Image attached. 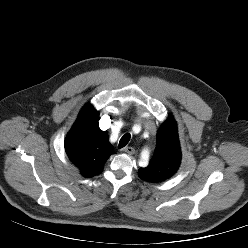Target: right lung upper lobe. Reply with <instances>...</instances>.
<instances>
[{"label":"right lung upper lobe","instance_id":"cb5924a9","mask_svg":"<svg viewBox=\"0 0 248 248\" xmlns=\"http://www.w3.org/2000/svg\"><path fill=\"white\" fill-rule=\"evenodd\" d=\"M99 113L86 104L65 139V150L82 176L91 178L103 171L111 154L112 145L105 131L98 126Z\"/></svg>","mask_w":248,"mask_h":248}]
</instances>
